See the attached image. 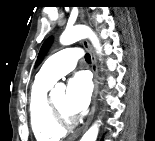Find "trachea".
<instances>
[{
  "mask_svg": "<svg viewBox=\"0 0 155 141\" xmlns=\"http://www.w3.org/2000/svg\"><path fill=\"white\" fill-rule=\"evenodd\" d=\"M85 60H86V62H89V63L91 62V57L89 54L85 55Z\"/></svg>",
  "mask_w": 155,
  "mask_h": 141,
  "instance_id": "3493384b",
  "label": "trachea"
}]
</instances>
